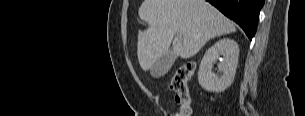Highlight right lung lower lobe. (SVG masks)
<instances>
[{"label": "right lung lower lobe", "instance_id": "1", "mask_svg": "<svg viewBox=\"0 0 305 116\" xmlns=\"http://www.w3.org/2000/svg\"><path fill=\"white\" fill-rule=\"evenodd\" d=\"M228 18L234 20L251 40L255 35L264 0H207Z\"/></svg>", "mask_w": 305, "mask_h": 116}]
</instances>
